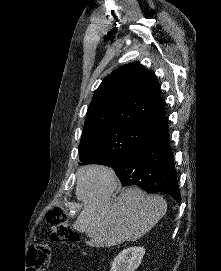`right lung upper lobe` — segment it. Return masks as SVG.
<instances>
[{"instance_id":"obj_1","label":"right lung upper lobe","mask_w":221,"mask_h":271,"mask_svg":"<svg viewBox=\"0 0 221 271\" xmlns=\"http://www.w3.org/2000/svg\"><path fill=\"white\" fill-rule=\"evenodd\" d=\"M164 108L155 74L130 63L104 78L89 105L82 135L111 126L148 130L166 119Z\"/></svg>"}]
</instances>
